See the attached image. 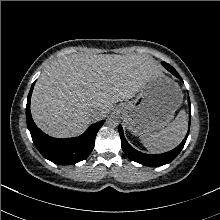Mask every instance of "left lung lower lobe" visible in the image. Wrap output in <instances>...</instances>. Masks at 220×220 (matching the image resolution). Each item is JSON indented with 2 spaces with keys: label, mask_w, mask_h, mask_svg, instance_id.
Returning a JSON list of instances; mask_svg holds the SVG:
<instances>
[{
  "label": "left lung lower lobe",
  "mask_w": 220,
  "mask_h": 220,
  "mask_svg": "<svg viewBox=\"0 0 220 220\" xmlns=\"http://www.w3.org/2000/svg\"><path fill=\"white\" fill-rule=\"evenodd\" d=\"M162 65L169 72H171L173 75H175L177 78L181 79L180 75L177 73V71L171 65H169L165 62H162ZM188 103H189V127H190L191 108H190V100L189 99H188ZM119 134L121 137L122 149L130 160L138 162V163L145 165V166L158 167V166H162V165H165V164L171 162L172 160H174L178 156V154L180 153V151L184 147V144L187 140V137L189 134V129H188L186 137L184 138V140L181 142V144L179 146H177L175 149L171 150L170 152L163 153V154H144V153H141V152L135 150L126 141L121 125L119 126Z\"/></svg>",
  "instance_id": "0a47b994"
}]
</instances>
